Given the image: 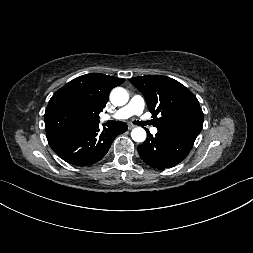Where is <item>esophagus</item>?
Listing matches in <instances>:
<instances>
[{"mask_svg": "<svg viewBox=\"0 0 253 253\" xmlns=\"http://www.w3.org/2000/svg\"><path fill=\"white\" fill-rule=\"evenodd\" d=\"M136 126L134 125V124H132V123H129L128 124V129L129 130H131V129H133V128H135Z\"/></svg>", "mask_w": 253, "mask_h": 253, "instance_id": "obj_1", "label": "esophagus"}]
</instances>
